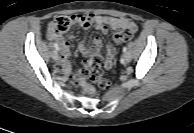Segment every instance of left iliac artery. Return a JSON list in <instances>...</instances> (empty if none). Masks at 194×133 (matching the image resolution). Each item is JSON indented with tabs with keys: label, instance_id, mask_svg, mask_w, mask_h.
I'll list each match as a JSON object with an SVG mask.
<instances>
[{
	"label": "left iliac artery",
	"instance_id": "obj_1",
	"mask_svg": "<svg viewBox=\"0 0 194 133\" xmlns=\"http://www.w3.org/2000/svg\"><path fill=\"white\" fill-rule=\"evenodd\" d=\"M123 52L126 53L127 52V47L123 48Z\"/></svg>",
	"mask_w": 194,
	"mask_h": 133
}]
</instances>
